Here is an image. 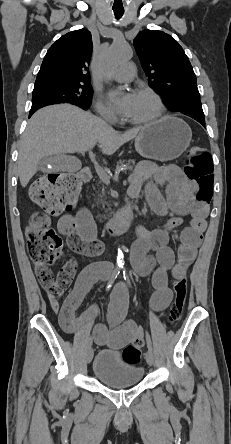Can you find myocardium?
<instances>
[{"label":"myocardium","instance_id":"f54148a6","mask_svg":"<svg viewBox=\"0 0 231 444\" xmlns=\"http://www.w3.org/2000/svg\"><path fill=\"white\" fill-rule=\"evenodd\" d=\"M136 94H147V95L151 96L157 104V113L149 118L142 119V120L126 119V121L128 123L134 124V125L151 124V123L158 121L164 115V113H165L164 101H163L162 97L154 89H152L150 87H146V86L139 87L136 89Z\"/></svg>","mask_w":231,"mask_h":444}]
</instances>
